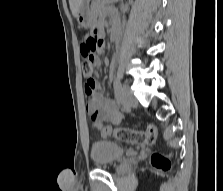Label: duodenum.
I'll list each match as a JSON object with an SVG mask.
<instances>
[{"mask_svg":"<svg viewBox=\"0 0 223 191\" xmlns=\"http://www.w3.org/2000/svg\"><path fill=\"white\" fill-rule=\"evenodd\" d=\"M120 35V27L116 26L112 29V38L117 39Z\"/></svg>","mask_w":223,"mask_h":191,"instance_id":"1","label":"duodenum"}]
</instances>
